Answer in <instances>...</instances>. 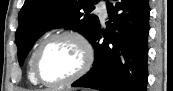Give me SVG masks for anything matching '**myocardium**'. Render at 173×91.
I'll return each mask as SVG.
<instances>
[{"mask_svg": "<svg viewBox=\"0 0 173 91\" xmlns=\"http://www.w3.org/2000/svg\"><path fill=\"white\" fill-rule=\"evenodd\" d=\"M63 38L71 39L75 41L77 45L80 47L82 56H83L82 64L80 68L68 78L59 82H47L41 77L39 72V61H40L41 55L43 51L45 50V48L51 42H53L54 40L63 39ZM94 57H95L94 47L91 41L83 33L79 31H74V30H65V31L53 33L47 38H45L39 44L34 54V58L32 62L33 75L36 81L44 86L51 87V88L63 87L84 76L90 70L94 62Z\"/></svg>", "mask_w": 173, "mask_h": 91, "instance_id": "myocardium-1", "label": "myocardium"}]
</instances>
